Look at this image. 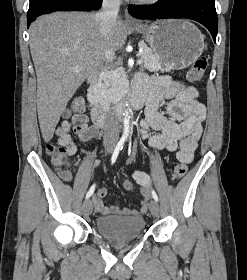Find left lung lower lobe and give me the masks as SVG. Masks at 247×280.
I'll return each mask as SVG.
<instances>
[{
  "mask_svg": "<svg viewBox=\"0 0 247 280\" xmlns=\"http://www.w3.org/2000/svg\"><path fill=\"white\" fill-rule=\"evenodd\" d=\"M139 19L187 18L204 25L214 41L217 36V13L214 0H159L151 6L128 8Z\"/></svg>",
  "mask_w": 247,
  "mask_h": 280,
  "instance_id": "0a47b994",
  "label": "left lung lower lobe"
}]
</instances>
